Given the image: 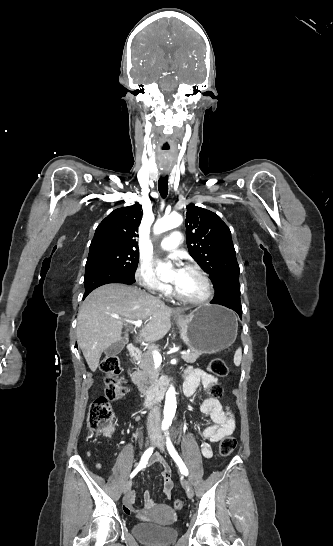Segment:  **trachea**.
<instances>
[{
  "instance_id": "trachea-1",
  "label": "trachea",
  "mask_w": 333,
  "mask_h": 546,
  "mask_svg": "<svg viewBox=\"0 0 333 546\" xmlns=\"http://www.w3.org/2000/svg\"><path fill=\"white\" fill-rule=\"evenodd\" d=\"M158 189L161 197L164 199L168 194V175L160 177Z\"/></svg>"
}]
</instances>
